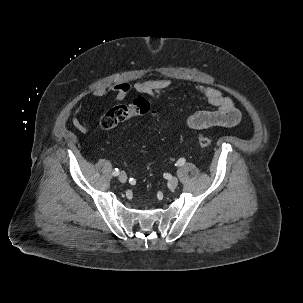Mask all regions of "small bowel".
<instances>
[{
    "label": "small bowel",
    "instance_id": "small-bowel-1",
    "mask_svg": "<svg viewBox=\"0 0 303 303\" xmlns=\"http://www.w3.org/2000/svg\"><path fill=\"white\" fill-rule=\"evenodd\" d=\"M170 86L171 81L167 78L143 80L135 82L134 84L119 82L108 89L95 91L94 95L96 97H103L108 93H112L117 101H121L131 90H135L139 93L156 97L167 91ZM198 91L206 98L208 103L213 106V109L198 111L187 117V127L199 130L211 127H234L240 123L241 115L235 107L232 98L224 95L220 90L209 86H199ZM84 108L85 106L83 104H79L75 110V116L72 119L73 127L81 133L88 131L86 122L78 117Z\"/></svg>",
    "mask_w": 303,
    "mask_h": 303
}]
</instances>
